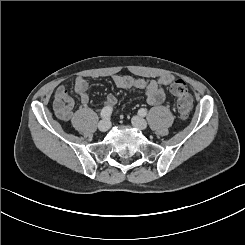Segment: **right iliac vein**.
I'll return each mask as SVG.
<instances>
[{
	"instance_id": "1",
	"label": "right iliac vein",
	"mask_w": 245,
	"mask_h": 245,
	"mask_svg": "<svg viewBox=\"0 0 245 245\" xmlns=\"http://www.w3.org/2000/svg\"><path fill=\"white\" fill-rule=\"evenodd\" d=\"M98 128L101 132H106L110 128L109 120H102L98 124Z\"/></svg>"
}]
</instances>
